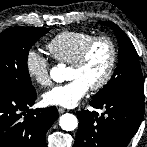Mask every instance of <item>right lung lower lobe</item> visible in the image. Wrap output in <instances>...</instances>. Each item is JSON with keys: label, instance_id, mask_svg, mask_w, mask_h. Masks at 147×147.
Listing matches in <instances>:
<instances>
[{"label": "right lung lower lobe", "instance_id": "98d812e1", "mask_svg": "<svg viewBox=\"0 0 147 147\" xmlns=\"http://www.w3.org/2000/svg\"><path fill=\"white\" fill-rule=\"evenodd\" d=\"M36 91H0V147H45L46 132L58 117L55 106L28 109Z\"/></svg>", "mask_w": 147, "mask_h": 147}]
</instances>
